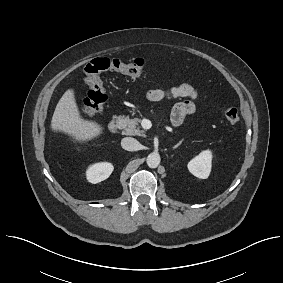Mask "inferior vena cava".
<instances>
[{
  "instance_id": "602c4592",
  "label": "inferior vena cava",
  "mask_w": 283,
  "mask_h": 283,
  "mask_svg": "<svg viewBox=\"0 0 283 283\" xmlns=\"http://www.w3.org/2000/svg\"><path fill=\"white\" fill-rule=\"evenodd\" d=\"M121 146L127 151H136L139 150L140 143L132 137H125L121 140Z\"/></svg>"
}]
</instances>
